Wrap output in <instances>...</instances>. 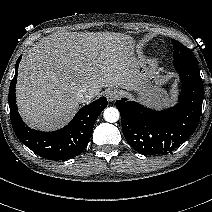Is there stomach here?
Wrapping results in <instances>:
<instances>
[{"label":"stomach","instance_id":"1","mask_svg":"<svg viewBox=\"0 0 212 212\" xmlns=\"http://www.w3.org/2000/svg\"><path fill=\"white\" fill-rule=\"evenodd\" d=\"M133 86L129 89L136 93L142 101L153 106H163L168 103V94L160 86L153 87L150 83L149 70L145 63L134 57L129 67Z\"/></svg>","mask_w":212,"mask_h":212}]
</instances>
